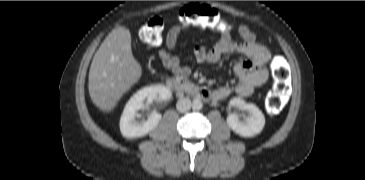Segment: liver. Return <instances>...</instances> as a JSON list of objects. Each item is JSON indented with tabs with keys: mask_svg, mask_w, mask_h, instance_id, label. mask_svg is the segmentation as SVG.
<instances>
[{
	"mask_svg": "<svg viewBox=\"0 0 365 180\" xmlns=\"http://www.w3.org/2000/svg\"><path fill=\"white\" fill-rule=\"evenodd\" d=\"M142 68L131 49L129 29H113L95 53L89 70V94L102 111L111 112L138 82Z\"/></svg>",
	"mask_w": 365,
	"mask_h": 180,
	"instance_id": "1",
	"label": "liver"
}]
</instances>
